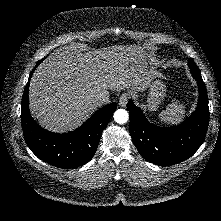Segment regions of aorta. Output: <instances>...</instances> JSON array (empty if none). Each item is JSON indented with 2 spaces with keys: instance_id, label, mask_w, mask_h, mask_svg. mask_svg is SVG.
I'll return each instance as SVG.
<instances>
[{
  "instance_id": "762f6f07",
  "label": "aorta",
  "mask_w": 221,
  "mask_h": 221,
  "mask_svg": "<svg viewBox=\"0 0 221 221\" xmlns=\"http://www.w3.org/2000/svg\"><path fill=\"white\" fill-rule=\"evenodd\" d=\"M129 119V114L125 109H118L114 113V120L118 124H125Z\"/></svg>"
}]
</instances>
